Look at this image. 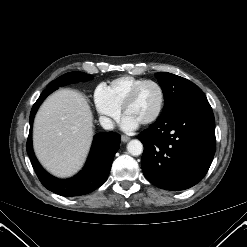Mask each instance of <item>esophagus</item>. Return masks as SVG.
Segmentation results:
<instances>
[{
    "mask_svg": "<svg viewBox=\"0 0 247 247\" xmlns=\"http://www.w3.org/2000/svg\"><path fill=\"white\" fill-rule=\"evenodd\" d=\"M121 140H122V142H128L129 140H130V137H128V136H125V135H122L121 136Z\"/></svg>",
    "mask_w": 247,
    "mask_h": 247,
    "instance_id": "34e87169",
    "label": "esophagus"
}]
</instances>
